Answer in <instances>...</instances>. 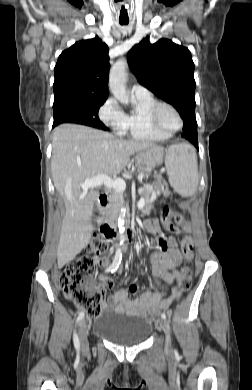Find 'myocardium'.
I'll use <instances>...</instances> for the list:
<instances>
[{"instance_id":"obj_1","label":"myocardium","mask_w":252,"mask_h":390,"mask_svg":"<svg viewBox=\"0 0 252 390\" xmlns=\"http://www.w3.org/2000/svg\"><path fill=\"white\" fill-rule=\"evenodd\" d=\"M164 108H168L170 109L171 111L174 112V114L176 115L177 119H178V127L173 129V130H167L165 129L161 123H160V120H159V116H160V113L161 111L164 109ZM148 119H149V123L151 125V127L153 129H155L156 131L158 132H161L163 134H168V135H173L175 134L177 131H179L183 125H184V121H183V118L180 114V112L178 111V109L169 104V103H166V102H158L156 103L152 108L151 110L149 111V114H148Z\"/></svg>"}]
</instances>
